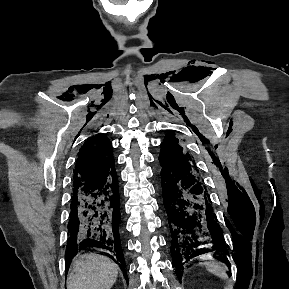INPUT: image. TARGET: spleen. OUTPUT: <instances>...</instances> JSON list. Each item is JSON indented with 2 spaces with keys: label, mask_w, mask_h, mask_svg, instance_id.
I'll return each instance as SVG.
<instances>
[{
  "label": "spleen",
  "mask_w": 289,
  "mask_h": 289,
  "mask_svg": "<svg viewBox=\"0 0 289 289\" xmlns=\"http://www.w3.org/2000/svg\"><path fill=\"white\" fill-rule=\"evenodd\" d=\"M205 259H209V261L201 263V265L205 266L206 269L212 274L218 276L221 279H227V273L225 267L221 262L212 258L210 254L204 256Z\"/></svg>",
  "instance_id": "obj_1"
}]
</instances>
